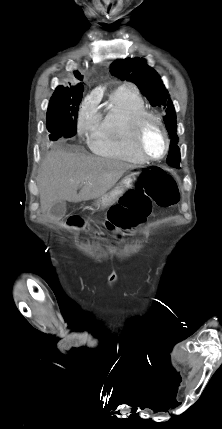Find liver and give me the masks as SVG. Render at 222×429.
Returning a JSON list of instances; mask_svg holds the SVG:
<instances>
[{
    "label": "liver",
    "mask_w": 222,
    "mask_h": 429,
    "mask_svg": "<svg viewBox=\"0 0 222 429\" xmlns=\"http://www.w3.org/2000/svg\"><path fill=\"white\" fill-rule=\"evenodd\" d=\"M136 166L116 159L53 150L42 161L38 176L43 213L60 201L81 202L99 198L128 170ZM82 186L79 194L77 189Z\"/></svg>",
    "instance_id": "obj_1"
}]
</instances>
